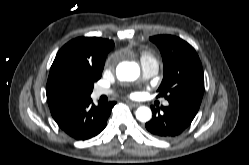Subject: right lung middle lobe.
Here are the masks:
<instances>
[{
	"instance_id": "dd1d6c3e",
	"label": "right lung middle lobe",
	"mask_w": 249,
	"mask_h": 165,
	"mask_svg": "<svg viewBox=\"0 0 249 165\" xmlns=\"http://www.w3.org/2000/svg\"><path fill=\"white\" fill-rule=\"evenodd\" d=\"M100 77V73L89 72L86 74V83L89 89L88 95H90L93 90L94 82H96Z\"/></svg>"
}]
</instances>
